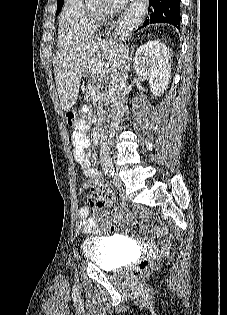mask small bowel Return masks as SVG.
<instances>
[{
	"mask_svg": "<svg viewBox=\"0 0 227 315\" xmlns=\"http://www.w3.org/2000/svg\"><path fill=\"white\" fill-rule=\"evenodd\" d=\"M84 115H85V119L82 120L80 124H78V126L75 128L72 134L74 159L77 165L82 170V175L84 178L91 179L92 185L105 187L106 184H104L101 181L100 174L94 168L90 166V160L86 154V149L89 143L85 136V129L87 126L86 119L88 118L89 112L84 111ZM112 207H113V214L111 215L112 219L110 221V224L112 222L122 220L127 210L126 203L124 201H120L116 207L113 205ZM77 227H78V230L82 233H98L101 230V228L107 227V226H100L99 221L95 220L92 217L90 209L84 206V207H81L78 211ZM141 229L149 237L153 233L152 230L144 224L141 225ZM155 232L161 235H165L167 232V229L164 226H159L155 229ZM168 244H169V241L165 239L163 241L155 243L154 246L158 250H163L168 246Z\"/></svg>",
	"mask_w": 227,
	"mask_h": 315,
	"instance_id": "small-bowel-1",
	"label": "small bowel"
}]
</instances>
